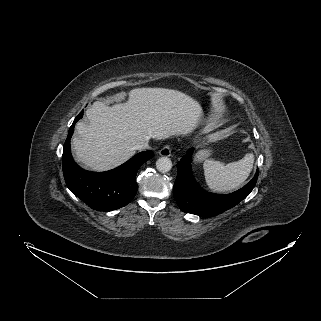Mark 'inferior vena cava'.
Masks as SVG:
<instances>
[{"label":"inferior vena cava","mask_w":321,"mask_h":321,"mask_svg":"<svg viewBox=\"0 0 321 321\" xmlns=\"http://www.w3.org/2000/svg\"><path fill=\"white\" fill-rule=\"evenodd\" d=\"M135 148L137 150H146V149H149L150 146H149L148 142H144V143L136 145Z\"/></svg>","instance_id":"602c4592"}]
</instances>
